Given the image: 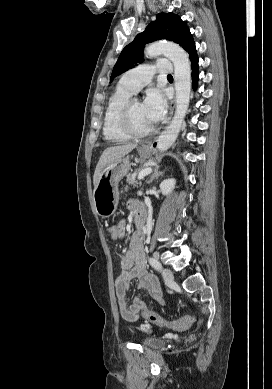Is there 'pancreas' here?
Instances as JSON below:
<instances>
[{
    "label": "pancreas",
    "instance_id": "cf45deb5",
    "mask_svg": "<svg viewBox=\"0 0 272 389\" xmlns=\"http://www.w3.org/2000/svg\"><path fill=\"white\" fill-rule=\"evenodd\" d=\"M136 176H137V173L135 172V173H131V174H128L127 175V183L129 184V185H134V186H136V184H137V181H136Z\"/></svg>",
    "mask_w": 272,
    "mask_h": 389
}]
</instances>
